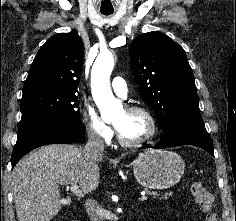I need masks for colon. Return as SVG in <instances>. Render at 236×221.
<instances>
[{
  "instance_id": "1",
  "label": "colon",
  "mask_w": 236,
  "mask_h": 221,
  "mask_svg": "<svg viewBox=\"0 0 236 221\" xmlns=\"http://www.w3.org/2000/svg\"><path fill=\"white\" fill-rule=\"evenodd\" d=\"M190 190L192 196L204 213V221H218L214 198L209 190L199 182L192 183Z\"/></svg>"
}]
</instances>
